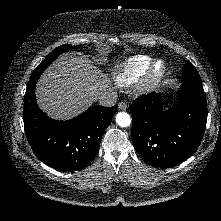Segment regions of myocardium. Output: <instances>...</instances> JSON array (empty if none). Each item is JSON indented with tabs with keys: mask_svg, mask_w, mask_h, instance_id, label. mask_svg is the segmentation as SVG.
Here are the masks:
<instances>
[{
	"mask_svg": "<svg viewBox=\"0 0 221 221\" xmlns=\"http://www.w3.org/2000/svg\"><path fill=\"white\" fill-rule=\"evenodd\" d=\"M167 72L166 63L161 59L151 62L142 78V88L153 91L162 83Z\"/></svg>",
	"mask_w": 221,
	"mask_h": 221,
	"instance_id": "myocardium-1",
	"label": "myocardium"
}]
</instances>
